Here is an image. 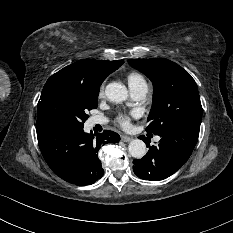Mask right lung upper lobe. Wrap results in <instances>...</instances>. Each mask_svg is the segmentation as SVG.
<instances>
[{
  "mask_svg": "<svg viewBox=\"0 0 233 233\" xmlns=\"http://www.w3.org/2000/svg\"><path fill=\"white\" fill-rule=\"evenodd\" d=\"M122 64L123 60H82L66 66L53 76L70 79L88 89H99L104 79Z\"/></svg>",
  "mask_w": 233,
  "mask_h": 233,
  "instance_id": "right-lung-upper-lobe-1",
  "label": "right lung upper lobe"
}]
</instances>
